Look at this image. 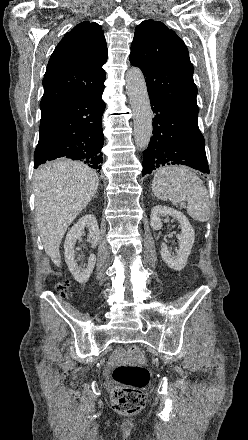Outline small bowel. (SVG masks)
Listing matches in <instances>:
<instances>
[{"instance_id":"1","label":"small bowel","mask_w":248,"mask_h":440,"mask_svg":"<svg viewBox=\"0 0 248 440\" xmlns=\"http://www.w3.org/2000/svg\"><path fill=\"white\" fill-rule=\"evenodd\" d=\"M122 356V350L121 349H117L112 357H111V363H114L116 361H118L120 359V357Z\"/></svg>"}]
</instances>
